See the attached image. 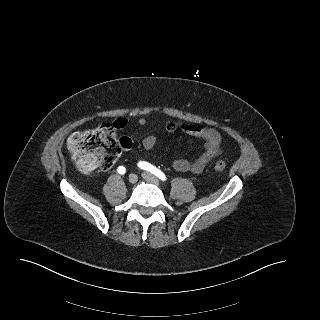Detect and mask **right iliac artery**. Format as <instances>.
Segmentation results:
<instances>
[{
	"label": "right iliac artery",
	"mask_w": 320,
	"mask_h": 320,
	"mask_svg": "<svg viewBox=\"0 0 320 320\" xmlns=\"http://www.w3.org/2000/svg\"><path fill=\"white\" fill-rule=\"evenodd\" d=\"M117 171H118V173H120V174H125V173H126V169H125V167H123V166H119V167L117 168Z\"/></svg>",
	"instance_id": "obj_1"
}]
</instances>
